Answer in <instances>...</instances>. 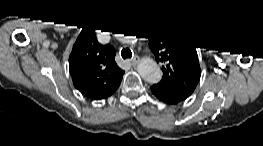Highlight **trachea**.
I'll return each mask as SVG.
<instances>
[{
  "mask_svg": "<svg viewBox=\"0 0 263 146\" xmlns=\"http://www.w3.org/2000/svg\"><path fill=\"white\" fill-rule=\"evenodd\" d=\"M121 56L123 59H126V58H131L132 57V52L127 49V48H124L121 50Z\"/></svg>",
  "mask_w": 263,
  "mask_h": 146,
  "instance_id": "3493384b",
  "label": "trachea"
}]
</instances>
